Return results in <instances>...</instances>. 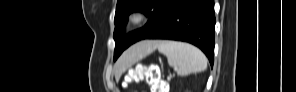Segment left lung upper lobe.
Instances as JSON below:
<instances>
[{"label":"left lung upper lobe","instance_id":"1","mask_svg":"<svg viewBox=\"0 0 296 92\" xmlns=\"http://www.w3.org/2000/svg\"><path fill=\"white\" fill-rule=\"evenodd\" d=\"M169 1L170 0H117L114 19V39L116 44L114 60L131 44L145 39L162 24L165 9ZM134 11L145 13L149 17V20L143 28L124 35V27L128 21V16Z\"/></svg>","mask_w":296,"mask_h":92}]
</instances>
